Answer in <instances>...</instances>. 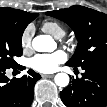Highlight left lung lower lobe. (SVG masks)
I'll use <instances>...</instances> for the list:
<instances>
[{
	"instance_id": "1",
	"label": "left lung lower lobe",
	"mask_w": 107,
	"mask_h": 107,
	"mask_svg": "<svg viewBox=\"0 0 107 107\" xmlns=\"http://www.w3.org/2000/svg\"><path fill=\"white\" fill-rule=\"evenodd\" d=\"M82 78L72 80L60 97L67 107L107 106V61H96L81 66ZM74 69H77L74 67Z\"/></svg>"
}]
</instances>
